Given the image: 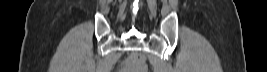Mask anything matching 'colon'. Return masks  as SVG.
I'll list each match as a JSON object with an SVG mask.
<instances>
[{"instance_id": "1", "label": "colon", "mask_w": 267, "mask_h": 72, "mask_svg": "<svg viewBox=\"0 0 267 72\" xmlns=\"http://www.w3.org/2000/svg\"><path fill=\"white\" fill-rule=\"evenodd\" d=\"M128 71V66H125L122 70H121V72H127Z\"/></svg>"}]
</instances>
